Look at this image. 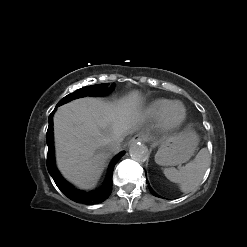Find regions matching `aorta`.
Instances as JSON below:
<instances>
[{
  "label": "aorta",
  "mask_w": 247,
  "mask_h": 247,
  "mask_svg": "<svg viewBox=\"0 0 247 247\" xmlns=\"http://www.w3.org/2000/svg\"><path fill=\"white\" fill-rule=\"evenodd\" d=\"M129 154L133 160L139 161V162L145 161L148 157L146 147L139 142H135L131 144L129 148Z\"/></svg>",
  "instance_id": "1"
}]
</instances>
